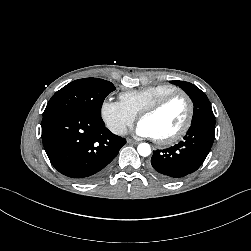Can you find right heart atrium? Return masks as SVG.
Returning a JSON list of instances; mask_svg holds the SVG:
<instances>
[{
	"label": "right heart atrium",
	"mask_w": 251,
	"mask_h": 251,
	"mask_svg": "<svg viewBox=\"0 0 251 251\" xmlns=\"http://www.w3.org/2000/svg\"><path fill=\"white\" fill-rule=\"evenodd\" d=\"M100 114L107 128L119 136L126 134L135 121V116L120 101L111 99L102 102Z\"/></svg>",
	"instance_id": "obj_1"
}]
</instances>
